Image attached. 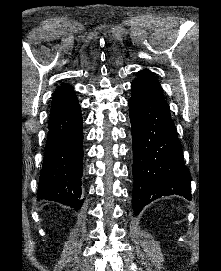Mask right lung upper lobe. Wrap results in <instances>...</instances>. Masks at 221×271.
<instances>
[{"mask_svg": "<svg viewBox=\"0 0 221 271\" xmlns=\"http://www.w3.org/2000/svg\"><path fill=\"white\" fill-rule=\"evenodd\" d=\"M76 101L77 98L73 88L68 84H63L53 94V103L50 112L61 110Z\"/></svg>", "mask_w": 221, "mask_h": 271, "instance_id": "cb5924a9", "label": "right lung upper lobe"}]
</instances>
